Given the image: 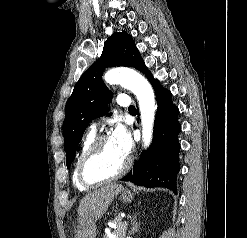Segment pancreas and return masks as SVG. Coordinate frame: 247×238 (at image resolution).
Wrapping results in <instances>:
<instances>
[{
	"mask_svg": "<svg viewBox=\"0 0 247 238\" xmlns=\"http://www.w3.org/2000/svg\"><path fill=\"white\" fill-rule=\"evenodd\" d=\"M115 224L116 228L112 231L114 238H125L127 225H124L120 218L115 220ZM104 238H110L109 234L105 233Z\"/></svg>",
	"mask_w": 247,
	"mask_h": 238,
	"instance_id": "1",
	"label": "pancreas"
}]
</instances>
